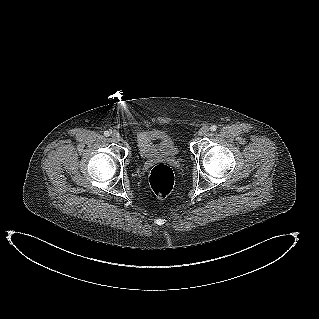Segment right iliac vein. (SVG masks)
Masks as SVG:
<instances>
[{"label":"right iliac vein","mask_w":319,"mask_h":319,"mask_svg":"<svg viewBox=\"0 0 319 319\" xmlns=\"http://www.w3.org/2000/svg\"><path fill=\"white\" fill-rule=\"evenodd\" d=\"M112 139L114 141H120L121 140V136L118 132H113L112 135H111Z\"/></svg>","instance_id":"1"}]
</instances>
